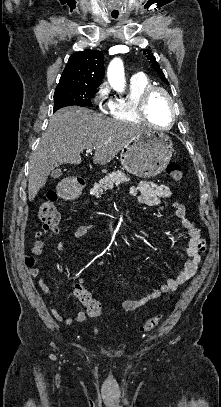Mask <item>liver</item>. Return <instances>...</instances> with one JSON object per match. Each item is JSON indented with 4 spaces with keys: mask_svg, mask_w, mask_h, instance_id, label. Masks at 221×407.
Instances as JSON below:
<instances>
[{
    "mask_svg": "<svg viewBox=\"0 0 221 407\" xmlns=\"http://www.w3.org/2000/svg\"><path fill=\"white\" fill-rule=\"evenodd\" d=\"M141 126L110 119L90 109L65 107L50 119L29 164L28 198L33 201L54 168L80 164V153L95 149L93 162L105 165L135 136Z\"/></svg>",
    "mask_w": 221,
    "mask_h": 407,
    "instance_id": "1",
    "label": "liver"
}]
</instances>
